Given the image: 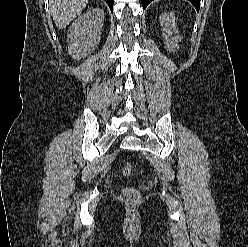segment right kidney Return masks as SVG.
Wrapping results in <instances>:
<instances>
[{
	"mask_svg": "<svg viewBox=\"0 0 248 247\" xmlns=\"http://www.w3.org/2000/svg\"><path fill=\"white\" fill-rule=\"evenodd\" d=\"M104 11L94 8L79 16L70 26L67 34L69 54L80 59L95 50L100 42Z\"/></svg>",
	"mask_w": 248,
	"mask_h": 247,
	"instance_id": "1",
	"label": "right kidney"
}]
</instances>
